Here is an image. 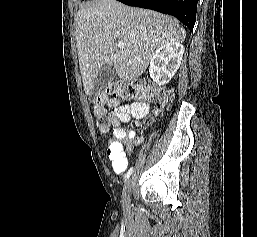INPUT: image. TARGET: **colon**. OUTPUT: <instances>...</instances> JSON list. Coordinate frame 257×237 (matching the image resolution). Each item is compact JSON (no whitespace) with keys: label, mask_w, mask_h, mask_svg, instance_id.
<instances>
[{"label":"colon","mask_w":257,"mask_h":237,"mask_svg":"<svg viewBox=\"0 0 257 237\" xmlns=\"http://www.w3.org/2000/svg\"><path fill=\"white\" fill-rule=\"evenodd\" d=\"M113 95V99L109 96ZM169 98V92L165 89H158L145 82H124L119 81L111 87L101 90L94 102V116L98 129L105 133L111 124V113L113 108L123 101L132 100H156L165 102ZM135 128H139L138 123H134ZM123 135L113 136L112 139L123 140Z\"/></svg>","instance_id":"colon-1"}]
</instances>
